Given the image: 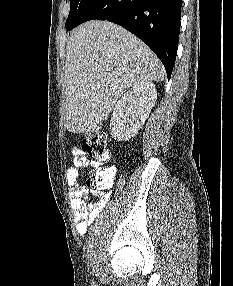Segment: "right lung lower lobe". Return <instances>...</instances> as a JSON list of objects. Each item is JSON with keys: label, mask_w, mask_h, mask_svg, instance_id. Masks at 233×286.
<instances>
[{"label": "right lung lower lobe", "mask_w": 233, "mask_h": 286, "mask_svg": "<svg viewBox=\"0 0 233 286\" xmlns=\"http://www.w3.org/2000/svg\"><path fill=\"white\" fill-rule=\"evenodd\" d=\"M181 5L182 0H90L67 30L93 19L119 24L154 51L170 79L178 48Z\"/></svg>", "instance_id": "obj_1"}]
</instances>
